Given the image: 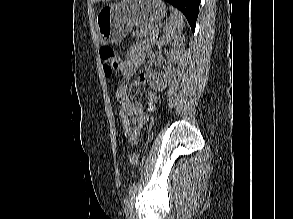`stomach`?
<instances>
[{
  "label": "stomach",
  "instance_id": "stomach-1",
  "mask_svg": "<svg viewBox=\"0 0 293 219\" xmlns=\"http://www.w3.org/2000/svg\"><path fill=\"white\" fill-rule=\"evenodd\" d=\"M166 15L162 0H122L102 7L97 14V31L102 44L118 43L134 26L145 27Z\"/></svg>",
  "mask_w": 293,
  "mask_h": 219
}]
</instances>
